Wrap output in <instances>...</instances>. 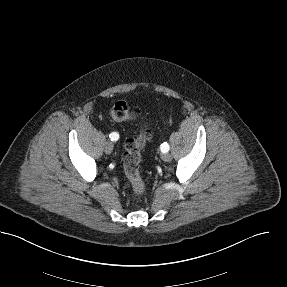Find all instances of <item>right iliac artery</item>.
I'll return each mask as SVG.
<instances>
[{
  "label": "right iliac artery",
  "instance_id": "1",
  "mask_svg": "<svg viewBox=\"0 0 287 287\" xmlns=\"http://www.w3.org/2000/svg\"><path fill=\"white\" fill-rule=\"evenodd\" d=\"M111 141H117L119 139V135L118 133L116 132H112L110 135H109Z\"/></svg>",
  "mask_w": 287,
  "mask_h": 287
}]
</instances>
